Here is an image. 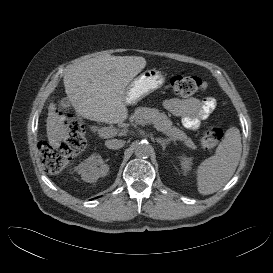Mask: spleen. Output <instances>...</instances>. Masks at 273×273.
I'll return each mask as SVG.
<instances>
[{
	"instance_id": "3e777b00",
	"label": "spleen",
	"mask_w": 273,
	"mask_h": 273,
	"mask_svg": "<svg viewBox=\"0 0 273 273\" xmlns=\"http://www.w3.org/2000/svg\"><path fill=\"white\" fill-rule=\"evenodd\" d=\"M242 153L240 131L229 128L213 156L200 163L196 170L198 192L209 195L218 191L233 176Z\"/></svg>"
}]
</instances>
